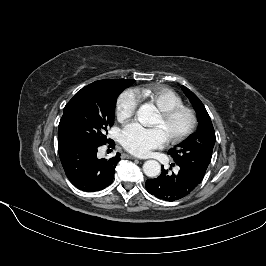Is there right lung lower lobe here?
<instances>
[{
    "mask_svg": "<svg viewBox=\"0 0 266 266\" xmlns=\"http://www.w3.org/2000/svg\"><path fill=\"white\" fill-rule=\"evenodd\" d=\"M106 143V142H105ZM98 143H66L58 145L59 157L70 182L78 189L95 192L108 187L114 178L120 153L110 159H98ZM114 147L113 141H107Z\"/></svg>",
    "mask_w": 266,
    "mask_h": 266,
    "instance_id": "98d812e1",
    "label": "right lung lower lobe"
}]
</instances>
